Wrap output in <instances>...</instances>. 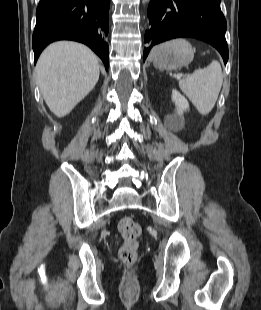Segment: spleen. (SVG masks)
Here are the masks:
<instances>
[{"instance_id":"1","label":"spleen","mask_w":261,"mask_h":310,"mask_svg":"<svg viewBox=\"0 0 261 310\" xmlns=\"http://www.w3.org/2000/svg\"><path fill=\"white\" fill-rule=\"evenodd\" d=\"M223 83L220 64L212 61L204 69L195 70L179 81L181 91L188 97L201 115L213 109Z\"/></svg>"}]
</instances>
